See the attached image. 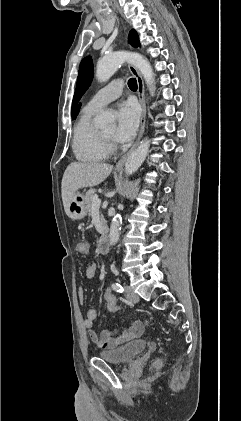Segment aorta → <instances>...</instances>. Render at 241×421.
<instances>
[{
  "label": "aorta",
  "mask_w": 241,
  "mask_h": 421,
  "mask_svg": "<svg viewBox=\"0 0 241 421\" xmlns=\"http://www.w3.org/2000/svg\"><path fill=\"white\" fill-rule=\"evenodd\" d=\"M131 62L140 71L144 80L149 88L151 94L155 91L154 73L150 63L139 53L117 51L108 56L103 57L97 63L96 78L100 82H105L117 71V69L124 62ZM115 122V117L111 112H104L97 118V124L100 127L112 126ZM150 147L148 139L140 142L139 146L133 150L125 163L126 175H132L138 170L143 161L145 160ZM122 218L120 214L114 215L110 225L109 240L111 245H115L120 236V229Z\"/></svg>",
  "instance_id": "aorta-1"
}]
</instances>
